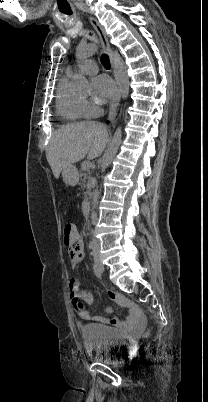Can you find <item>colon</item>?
Wrapping results in <instances>:
<instances>
[{
	"label": "colon",
	"instance_id": "colon-1",
	"mask_svg": "<svg viewBox=\"0 0 208 402\" xmlns=\"http://www.w3.org/2000/svg\"><path fill=\"white\" fill-rule=\"evenodd\" d=\"M62 233L65 244H75V241L80 237L77 226L72 222H67L63 225ZM72 304L76 312L83 313L85 311L86 306L82 298L73 297Z\"/></svg>",
	"mask_w": 208,
	"mask_h": 402
}]
</instances>
